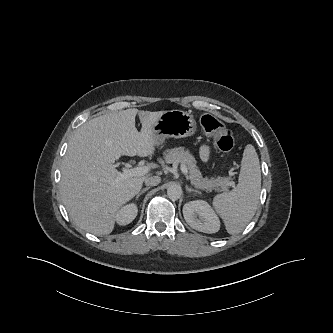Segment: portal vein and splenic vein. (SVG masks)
Masks as SVG:
<instances>
[{"mask_svg": "<svg viewBox=\"0 0 333 333\" xmlns=\"http://www.w3.org/2000/svg\"><path fill=\"white\" fill-rule=\"evenodd\" d=\"M148 171H149V168L147 166H137V167H133V168L126 166L123 168V172L120 173L118 178L123 179L126 177L143 176V175L147 174ZM181 171L187 177L188 170L185 165H181Z\"/></svg>", "mask_w": 333, "mask_h": 333, "instance_id": "portal-vein-and-splenic-vein-1", "label": "portal vein and splenic vein"}]
</instances>
